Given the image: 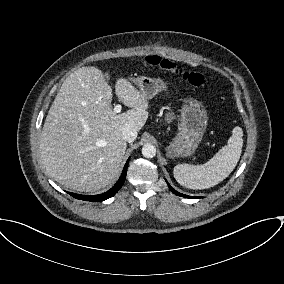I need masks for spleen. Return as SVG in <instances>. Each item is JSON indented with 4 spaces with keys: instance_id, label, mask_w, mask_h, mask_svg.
<instances>
[{
    "instance_id": "spleen-1",
    "label": "spleen",
    "mask_w": 284,
    "mask_h": 284,
    "mask_svg": "<svg viewBox=\"0 0 284 284\" xmlns=\"http://www.w3.org/2000/svg\"><path fill=\"white\" fill-rule=\"evenodd\" d=\"M243 131L232 130L227 145L223 146L209 161L201 165L179 164L174 167L176 181L190 189H207L227 178L236 167L242 152Z\"/></svg>"
}]
</instances>
